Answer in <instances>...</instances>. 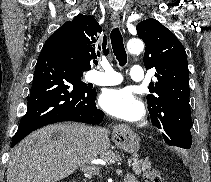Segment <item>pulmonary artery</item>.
I'll return each mask as SVG.
<instances>
[{
	"label": "pulmonary artery",
	"instance_id": "1",
	"mask_svg": "<svg viewBox=\"0 0 211 182\" xmlns=\"http://www.w3.org/2000/svg\"><path fill=\"white\" fill-rule=\"evenodd\" d=\"M130 76L135 81H141L144 77L143 68L140 65L133 66ZM89 80L97 85H115L122 81V77L109 65H103V71H93Z\"/></svg>",
	"mask_w": 211,
	"mask_h": 182
}]
</instances>
